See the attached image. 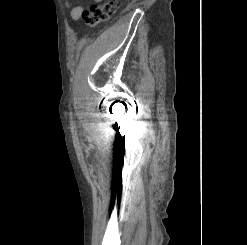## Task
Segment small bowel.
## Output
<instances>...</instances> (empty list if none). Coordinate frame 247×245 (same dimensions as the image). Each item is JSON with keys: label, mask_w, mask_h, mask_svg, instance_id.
Instances as JSON below:
<instances>
[{"label": "small bowel", "mask_w": 247, "mask_h": 245, "mask_svg": "<svg viewBox=\"0 0 247 245\" xmlns=\"http://www.w3.org/2000/svg\"><path fill=\"white\" fill-rule=\"evenodd\" d=\"M95 2H99L101 0H94ZM67 6L70 8V15L73 20H79L84 14V8L83 6L77 5L72 6L70 2L67 0L66 2Z\"/></svg>", "instance_id": "c3829d8e"}]
</instances>
